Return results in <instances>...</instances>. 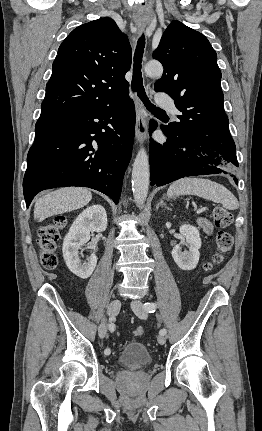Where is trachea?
Listing matches in <instances>:
<instances>
[{
    "label": "trachea",
    "instance_id": "3493384b",
    "mask_svg": "<svg viewBox=\"0 0 262 431\" xmlns=\"http://www.w3.org/2000/svg\"><path fill=\"white\" fill-rule=\"evenodd\" d=\"M145 48V36L144 34L139 38L136 51L134 54V69H133V78H132V90L137 92V95L145 104L146 108L152 113H160L165 114V111L156 107L154 104L150 102L148 99L142 80V72H141V63L143 58Z\"/></svg>",
    "mask_w": 262,
    "mask_h": 431
}]
</instances>
